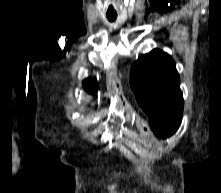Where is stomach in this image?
<instances>
[{
    "label": "stomach",
    "instance_id": "0dacf381",
    "mask_svg": "<svg viewBox=\"0 0 221 193\" xmlns=\"http://www.w3.org/2000/svg\"><path fill=\"white\" fill-rule=\"evenodd\" d=\"M116 103H118L119 109H126L124 110V115H131V110L135 109V104H131V102H127V98H116ZM130 118V123H134L136 127V134H149V138H162V133H149L148 126L145 125V120H137V118Z\"/></svg>",
    "mask_w": 221,
    "mask_h": 193
}]
</instances>
